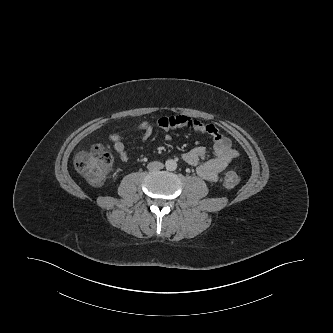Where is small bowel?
<instances>
[{"label": "small bowel", "mask_w": 333, "mask_h": 333, "mask_svg": "<svg viewBox=\"0 0 333 333\" xmlns=\"http://www.w3.org/2000/svg\"><path fill=\"white\" fill-rule=\"evenodd\" d=\"M157 124L165 131L181 127L198 131L213 141L214 156L211 159H207V149L203 146L194 147L183 154V160L189 165L197 166V174L206 181H217L219 174L238 157V152L231 146L230 140L212 124H205L185 115L161 117ZM137 131L141 135L142 142H145L152 135V126L148 122H142ZM166 139H170V136L166 135ZM110 140L118 158L122 162L130 163L132 160L126 150L123 137L118 133H113L110 135Z\"/></svg>", "instance_id": "c3829d8e"}]
</instances>
